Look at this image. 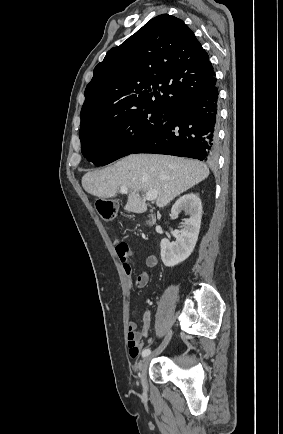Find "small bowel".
<instances>
[{"instance_id":"c3829d8e","label":"small bowel","mask_w":283,"mask_h":434,"mask_svg":"<svg viewBox=\"0 0 283 434\" xmlns=\"http://www.w3.org/2000/svg\"><path fill=\"white\" fill-rule=\"evenodd\" d=\"M116 252L119 259L122 262L123 270L129 282L131 283V277L133 274L132 264L130 263V257L133 255V251L129 247V245L120 240H115ZM146 266L149 268H153L157 265L158 260L155 255H149L145 260ZM149 282V274L147 272H142L138 275L135 280L136 288H144ZM150 325H151V314L149 311L145 312L142 318V328L138 330L137 324L134 321L129 322L128 325V348L129 355L131 358H137L142 350V345L140 340L145 337L150 342H152V338L150 336Z\"/></svg>"}]
</instances>
